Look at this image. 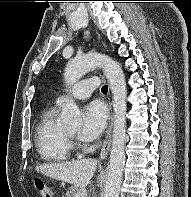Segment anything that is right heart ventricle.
Instances as JSON below:
<instances>
[{"label":"right heart ventricle","mask_w":191,"mask_h":197,"mask_svg":"<svg viewBox=\"0 0 191 197\" xmlns=\"http://www.w3.org/2000/svg\"><path fill=\"white\" fill-rule=\"evenodd\" d=\"M56 116L57 105L45 108L36 127V148L41 159L46 162H63L72 155L66 130L57 123Z\"/></svg>","instance_id":"e07e8e85"}]
</instances>
